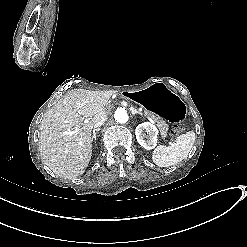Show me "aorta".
I'll list each match as a JSON object with an SVG mask.
<instances>
[{
    "mask_svg": "<svg viewBox=\"0 0 247 247\" xmlns=\"http://www.w3.org/2000/svg\"><path fill=\"white\" fill-rule=\"evenodd\" d=\"M115 121L117 123H126L129 119L127 111L124 108H118L114 114Z\"/></svg>",
    "mask_w": 247,
    "mask_h": 247,
    "instance_id": "1",
    "label": "aorta"
}]
</instances>
